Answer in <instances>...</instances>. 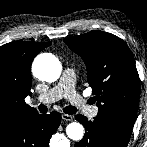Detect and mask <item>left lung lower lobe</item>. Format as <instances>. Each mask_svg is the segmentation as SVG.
<instances>
[{"label":"left lung lower lobe","mask_w":147,"mask_h":147,"mask_svg":"<svg viewBox=\"0 0 147 147\" xmlns=\"http://www.w3.org/2000/svg\"><path fill=\"white\" fill-rule=\"evenodd\" d=\"M75 119L84 125L85 136L74 147H127L130 137L111 124L97 117L88 121L85 116L77 115Z\"/></svg>","instance_id":"left-lung-lower-lobe-1"}]
</instances>
